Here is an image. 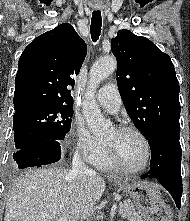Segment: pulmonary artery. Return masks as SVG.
Returning a JSON list of instances; mask_svg holds the SVG:
<instances>
[{"label":"pulmonary artery","instance_id":"obj_1","mask_svg":"<svg viewBox=\"0 0 190 221\" xmlns=\"http://www.w3.org/2000/svg\"><path fill=\"white\" fill-rule=\"evenodd\" d=\"M96 99L102 107L111 113H117L122 105L119 90L114 83H108L100 88Z\"/></svg>","mask_w":190,"mask_h":221}]
</instances>
